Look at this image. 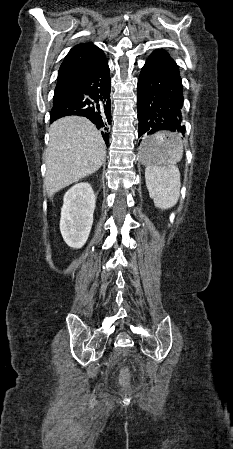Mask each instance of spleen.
Returning a JSON list of instances; mask_svg holds the SVG:
<instances>
[{
  "label": "spleen",
  "mask_w": 233,
  "mask_h": 449,
  "mask_svg": "<svg viewBox=\"0 0 233 449\" xmlns=\"http://www.w3.org/2000/svg\"><path fill=\"white\" fill-rule=\"evenodd\" d=\"M176 148L181 154L183 146L178 138ZM146 186L154 204L161 210L176 205L180 195V173L173 162L167 164H148L145 170Z\"/></svg>",
  "instance_id": "3e777b00"
}]
</instances>
